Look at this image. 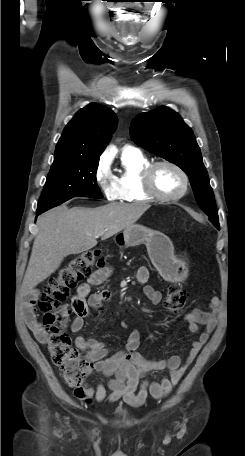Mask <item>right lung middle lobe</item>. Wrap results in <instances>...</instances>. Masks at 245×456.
<instances>
[{
    "label": "right lung middle lobe",
    "instance_id": "1",
    "mask_svg": "<svg viewBox=\"0 0 245 456\" xmlns=\"http://www.w3.org/2000/svg\"><path fill=\"white\" fill-rule=\"evenodd\" d=\"M99 158H74L53 163L37 212H44L73 197L102 198L96 172Z\"/></svg>",
    "mask_w": 245,
    "mask_h": 456
}]
</instances>
